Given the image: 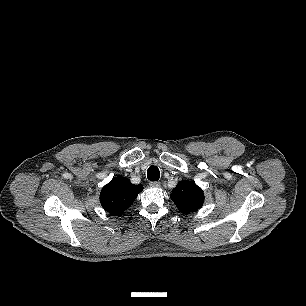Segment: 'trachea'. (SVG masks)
<instances>
[{
    "instance_id": "3493384b",
    "label": "trachea",
    "mask_w": 306,
    "mask_h": 306,
    "mask_svg": "<svg viewBox=\"0 0 306 306\" xmlns=\"http://www.w3.org/2000/svg\"><path fill=\"white\" fill-rule=\"evenodd\" d=\"M147 178L150 181H157L160 178V171L156 166H150L147 170Z\"/></svg>"
}]
</instances>
